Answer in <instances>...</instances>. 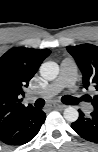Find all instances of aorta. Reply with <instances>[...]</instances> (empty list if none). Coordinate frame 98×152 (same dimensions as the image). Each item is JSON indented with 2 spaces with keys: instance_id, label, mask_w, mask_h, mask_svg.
Returning a JSON list of instances; mask_svg holds the SVG:
<instances>
[{
  "instance_id": "1",
  "label": "aorta",
  "mask_w": 98,
  "mask_h": 152,
  "mask_svg": "<svg viewBox=\"0 0 98 152\" xmlns=\"http://www.w3.org/2000/svg\"><path fill=\"white\" fill-rule=\"evenodd\" d=\"M59 74V66L55 62H45L40 67V75L49 81L54 80L57 78ZM64 118L68 121H76L78 119L79 113L74 107H67L64 110Z\"/></svg>"
}]
</instances>
